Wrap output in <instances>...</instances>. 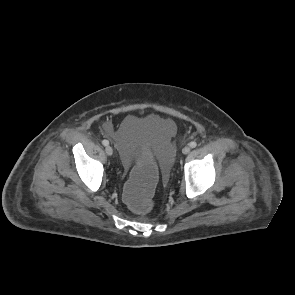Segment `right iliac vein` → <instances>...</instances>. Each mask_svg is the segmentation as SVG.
Listing matches in <instances>:
<instances>
[{"label":"right iliac vein","instance_id":"1","mask_svg":"<svg viewBox=\"0 0 295 295\" xmlns=\"http://www.w3.org/2000/svg\"><path fill=\"white\" fill-rule=\"evenodd\" d=\"M106 154L111 156L113 154V149L111 146L107 145L105 148Z\"/></svg>","mask_w":295,"mask_h":295}]
</instances>
